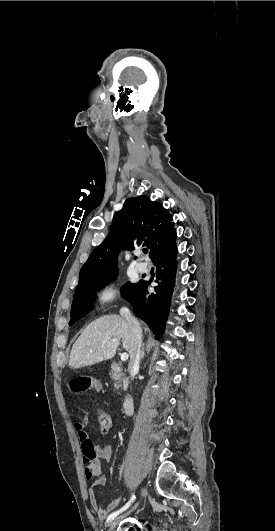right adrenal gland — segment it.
<instances>
[{"mask_svg":"<svg viewBox=\"0 0 275 531\" xmlns=\"http://www.w3.org/2000/svg\"><path fill=\"white\" fill-rule=\"evenodd\" d=\"M145 353H144V345L141 347V353H140V359H143Z\"/></svg>","mask_w":275,"mask_h":531,"instance_id":"2a0ac1e0","label":"right adrenal gland"}]
</instances>
